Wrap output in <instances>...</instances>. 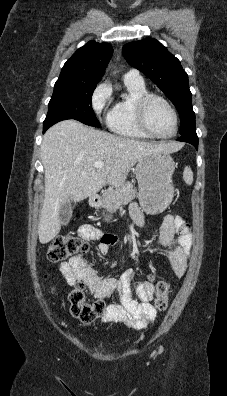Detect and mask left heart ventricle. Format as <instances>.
Segmentation results:
<instances>
[{
	"label": "left heart ventricle",
	"instance_id": "1",
	"mask_svg": "<svg viewBox=\"0 0 227 396\" xmlns=\"http://www.w3.org/2000/svg\"><path fill=\"white\" fill-rule=\"evenodd\" d=\"M147 122L150 128L161 135L174 131V118L168 107L160 100H152L147 108Z\"/></svg>",
	"mask_w": 227,
	"mask_h": 396
}]
</instances>
